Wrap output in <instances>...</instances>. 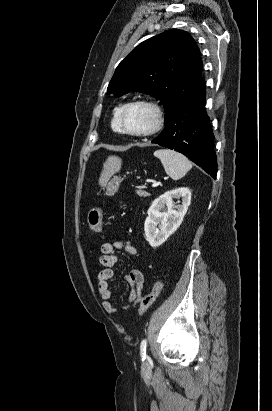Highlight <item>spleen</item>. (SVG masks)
<instances>
[{
    "label": "spleen",
    "mask_w": 272,
    "mask_h": 411,
    "mask_svg": "<svg viewBox=\"0 0 272 411\" xmlns=\"http://www.w3.org/2000/svg\"><path fill=\"white\" fill-rule=\"evenodd\" d=\"M154 156L159 158L165 172L173 179L183 178L192 168L190 160L181 153L169 149H159L154 152Z\"/></svg>",
    "instance_id": "obj_1"
}]
</instances>
